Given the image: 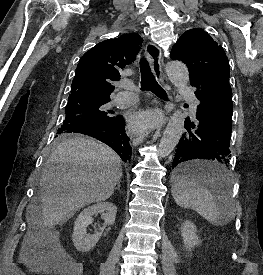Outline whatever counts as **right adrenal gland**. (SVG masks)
Returning <instances> with one entry per match:
<instances>
[{"instance_id": "2a0ac1e0", "label": "right adrenal gland", "mask_w": 263, "mask_h": 275, "mask_svg": "<svg viewBox=\"0 0 263 275\" xmlns=\"http://www.w3.org/2000/svg\"><path fill=\"white\" fill-rule=\"evenodd\" d=\"M115 190H119L120 191V183H118L117 187L115 188Z\"/></svg>"}]
</instances>
